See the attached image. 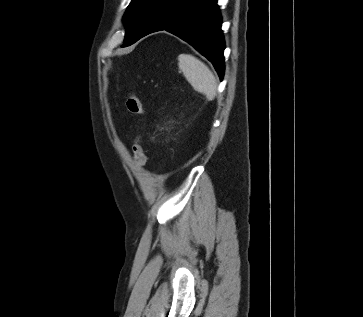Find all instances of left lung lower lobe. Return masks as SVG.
I'll return each instance as SVG.
<instances>
[{"label":"left lung lower lobe","mask_w":363,"mask_h":317,"mask_svg":"<svg viewBox=\"0 0 363 317\" xmlns=\"http://www.w3.org/2000/svg\"><path fill=\"white\" fill-rule=\"evenodd\" d=\"M216 3L217 0H158L138 40L161 30L173 33L211 61L222 80L225 42Z\"/></svg>","instance_id":"0a47b994"}]
</instances>
